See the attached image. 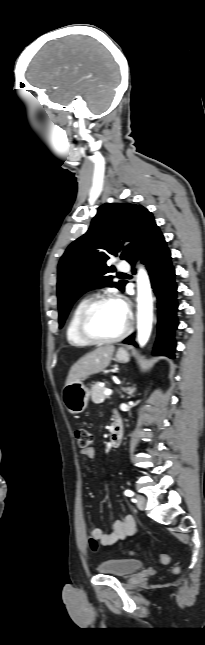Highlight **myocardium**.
Masks as SVG:
<instances>
[{
	"label": "myocardium",
	"mask_w": 205,
	"mask_h": 645,
	"mask_svg": "<svg viewBox=\"0 0 205 645\" xmlns=\"http://www.w3.org/2000/svg\"><path fill=\"white\" fill-rule=\"evenodd\" d=\"M108 301H115V298L111 295H101L95 297L85 304L79 314L78 331L80 335L91 344H106L120 341L125 338L131 330V320L130 317L127 316L126 324L123 330L112 337H101L92 332L90 328V318L94 309Z\"/></svg>",
	"instance_id": "myocardium-1"
}]
</instances>
